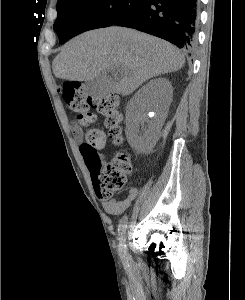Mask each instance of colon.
Wrapping results in <instances>:
<instances>
[{"label": "colon", "mask_w": 245, "mask_h": 300, "mask_svg": "<svg viewBox=\"0 0 245 300\" xmlns=\"http://www.w3.org/2000/svg\"><path fill=\"white\" fill-rule=\"evenodd\" d=\"M60 90L68 106L77 114L78 122L86 127L80 151L91 173L95 191L100 198L110 199L114 193L124 188L132 172L131 160L125 152L117 153L110 161H106L100 153L107 135L115 143L122 141L119 99L114 94L91 97L81 82L66 83ZM90 108H94L104 117L107 134L93 126L95 116Z\"/></svg>", "instance_id": "5ec220e1"}]
</instances>
